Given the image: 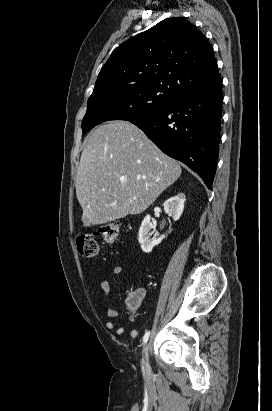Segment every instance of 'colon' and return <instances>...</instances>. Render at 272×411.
Returning a JSON list of instances; mask_svg holds the SVG:
<instances>
[{"label": "colon", "mask_w": 272, "mask_h": 411, "mask_svg": "<svg viewBox=\"0 0 272 411\" xmlns=\"http://www.w3.org/2000/svg\"><path fill=\"white\" fill-rule=\"evenodd\" d=\"M121 226L119 224H107L99 229L100 235L107 243H112L117 238L120 232ZM77 249L82 257L90 258L95 257L98 254V243L93 235L84 234L80 235L76 239ZM142 302V294L140 292H134L128 299L129 307L132 311H135Z\"/></svg>", "instance_id": "obj_1"}]
</instances>
